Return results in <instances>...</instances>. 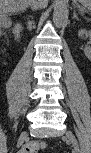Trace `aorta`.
Segmentation results:
<instances>
[{
    "label": "aorta",
    "mask_w": 91,
    "mask_h": 153,
    "mask_svg": "<svg viewBox=\"0 0 91 153\" xmlns=\"http://www.w3.org/2000/svg\"><path fill=\"white\" fill-rule=\"evenodd\" d=\"M68 18V0H56L53 9V22L62 27Z\"/></svg>",
    "instance_id": "762f6f07"
}]
</instances>
